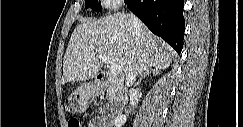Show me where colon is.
<instances>
[{
	"instance_id": "colon-1",
	"label": "colon",
	"mask_w": 243,
	"mask_h": 127,
	"mask_svg": "<svg viewBox=\"0 0 243 127\" xmlns=\"http://www.w3.org/2000/svg\"><path fill=\"white\" fill-rule=\"evenodd\" d=\"M68 125H69V127H80L81 126L79 120L76 118L69 119Z\"/></svg>"
}]
</instances>
